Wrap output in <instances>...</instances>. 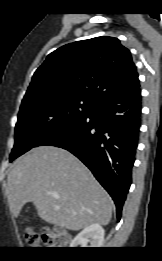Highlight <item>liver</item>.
Wrapping results in <instances>:
<instances>
[{
    "label": "liver",
    "mask_w": 162,
    "mask_h": 261,
    "mask_svg": "<svg viewBox=\"0 0 162 261\" xmlns=\"http://www.w3.org/2000/svg\"><path fill=\"white\" fill-rule=\"evenodd\" d=\"M7 182L15 217L24 204L33 202L41 219L68 230L95 223L106 226L111 220L113 201L108 193L80 160L62 148L32 149L13 163Z\"/></svg>",
    "instance_id": "liver-1"
}]
</instances>
